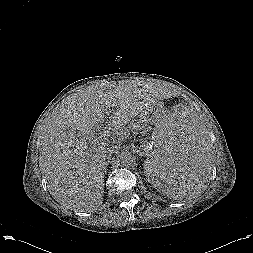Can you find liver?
<instances>
[{
  "label": "liver",
  "instance_id": "6515ba94",
  "mask_svg": "<svg viewBox=\"0 0 253 253\" xmlns=\"http://www.w3.org/2000/svg\"><path fill=\"white\" fill-rule=\"evenodd\" d=\"M152 84L102 82L67 98L44 126L39 166L53 198L73 210L91 212L103 203L108 139L89 136L107 115L114 134L159 98Z\"/></svg>",
  "mask_w": 253,
  "mask_h": 253
}]
</instances>
